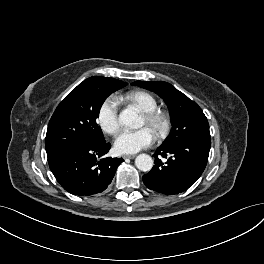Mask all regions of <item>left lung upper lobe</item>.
Segmentation results:
<instances>
[{"label": "left lung upper lobe", "instance_id": "left-lung-upper-lobe-1", "mask_svg": "<svg viewBox=\"0 0 264 264\" xmlns=\"http://www.w3.org/2000/svg\"><path fill=\"white\" fill-rule=\"evenodd\" d=\"M132 85L155 92L167 104L172 128L162 145L187 139L210 138L209 124L201 108L174 86L163 81H135Z\"/></svg>", "mask_w": 264, "mask_h": 264}]
</instances>
